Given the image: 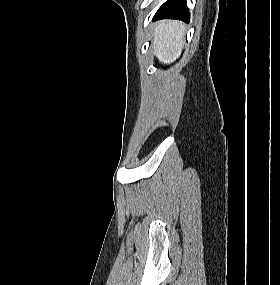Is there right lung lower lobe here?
<instances>
[{"mask_svg":"<svg viewBox=\"0 0 280 285\" xmlns=\"http://www.w3.org/2000/svg\"><path fill=\"white\" fill-rule=\"evenodd\" d=\"M156 19H178L189 22L190 14L186 0H167L156 12Z\"/></svg>","mask_w":280,"mask_h":285,"instance_id":"98d812e1","label":"right lung lower lobe"}]
</instances>
